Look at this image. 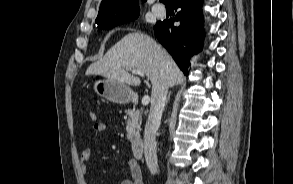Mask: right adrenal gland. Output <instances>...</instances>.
<instances>
[{"instance_id":"obj_1","label":"right adrenal gland","mask_w":293,"mask_h":184,"mask_svg":"<svg viewBox=\"0 0 293 184\" xmlns=\"http://www.w3.org/2000/svg\"><path fill=\"white\" fill-rule=\"evenodd\" d=\"M169 98H170V93H169V95H168V97H167L166 104L168 103Z\"/></svg>"}]
</instances>
